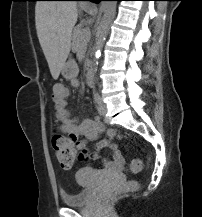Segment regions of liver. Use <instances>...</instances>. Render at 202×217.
<instances>
[{
  "mask_svg": "<svg viewBox=\"0 0 202 217\" xmlns=\"http://www.w3.org/2000/svg\"><path fill=\"white\" fill-rule=\"evenodd\" d=\"M86 7V4H80ZM78 18L77 3L38 1L35 6L37 36L51 75L59 77L70 53L72 30Z\"/></svg>",
  "mask_w": 202,
  "mask_h": 217,
  "instance_id": "6515ba94",
  "label": "liver"
}]
</instances>
